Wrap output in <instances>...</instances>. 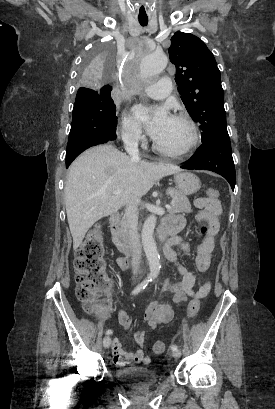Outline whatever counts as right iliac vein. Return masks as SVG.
<instances>
[{
  "mask_svg": "<svg viewBox=\"0 0 275 409\" xmlns=\"http://www.w3.org/2000/svg\"><path fill=\"white\" fill-rule=\"evenodd\" d=\"M111 344V337L110 336H105L103 338V346L104 348H109Z\"/></svg>",
  "mask_w": 275,
  "mask_h": 409,
  "instance_id": "63e3f726",
  "label": "right iliac vein"
}]
</instances>
